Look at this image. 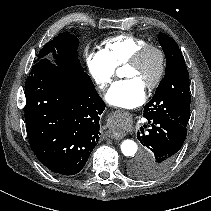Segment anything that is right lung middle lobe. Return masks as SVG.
Returning a JSON list of instances; mask_svg holds the SVG:
<instances>
[{"mask_svg": "<svg viewBox=\"0 0 211 211\" xmlns=\"http://www.w3.org/2000/svg\"><path fill=\"white\" fill-rule=\"evenodd\" d=\"M79 40L75 35L69 32L60 33L52 41L48 42L40 53L47 55L50 52L57 53L59 56L65 58L69 62L76 65L78 68L83 70L78 59V48Z\"/></svg>", "mask_w": 211, "mask_h": 211, "instance_id": "right-lung-middle-lobe-1", "label": "right lung middle lobe"}]
</instances>
